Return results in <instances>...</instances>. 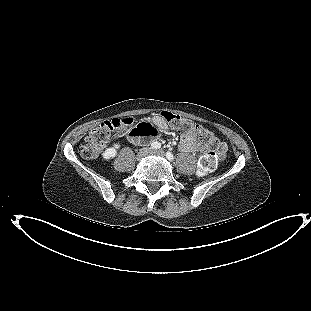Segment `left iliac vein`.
Returning a JSON list of instances; mask_svg holds the SVG:
<instances>
[{
  "label": "left iliac vein",
  "mask_w": 311,
  "mask_h": 311,
  "mask_svg": "<svg viewBox=\"0 0 311 311\" xmlns=\"http://www.w3.org/2000/svg\"><path fill=\"white\" fill-rule=\"evenodd\" d=\"M150 153L154 155L162 156V157L165 155L163 150L151 151Z\"/></svg>",
  "instance_id": "obj_1"
}]
</instances>
